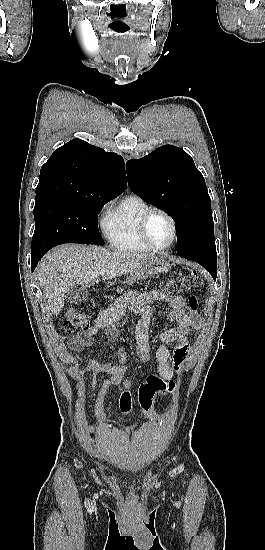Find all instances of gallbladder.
<instances>
[{"label": "gallbladder", "mask_w": 265, "mask_h": 550, "mask_svg": "<svg viewBox=\"0 0 265 550\" xmlns=\"http://www.w3.org/2000/svg\"><path fill=\"white\" fill-rule=\"evenodd\" d=\"M88 295L89 293L86 287L72 286L69 287L66 293V300L71 304H81L87 300Z\"/></svg>", "instance_id": "1"}]
</instances>
